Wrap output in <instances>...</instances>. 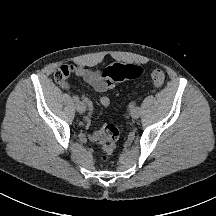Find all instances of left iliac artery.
I'll return each mask as SVG.
<instances>
[{"label": "left iliac artery", "mask_w": 216, "mask_h": 216, "mask_svg": "<svg viewBox=\"0 0 216 216\" xmlns=\"http://www.w3.org/2000/svg\"><path fill=\"white\" fill-rule=\"evenodd\" d=\"M129 108H130V109L135 108V102H131V103L129 104Z\"/></svg>", "instance_id": "left-iliac-artery-1"}]
</instances>
